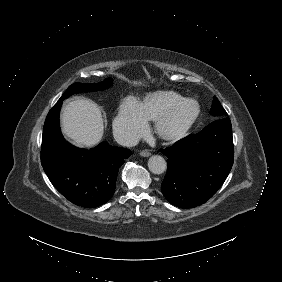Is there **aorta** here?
Here are the masks:
<instances>
[{
  "instance_id": "1",
  "label": "aorta",
  "mask_w": 282,
  "mask_h": 282,
  "mask_svg": "<svg viewBox=\"0 0 282 282\" xmlns=\"http://www.w3.org/2000/svg\"><path fill=\"white\" fill-rule=\"evenodd\" d=\"M148 168L154 174H162L166 171L167 164L162 156L153 155L148 160Z\"/></svg>"
}]
</instances>
